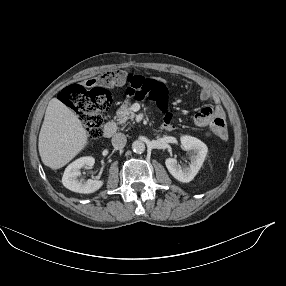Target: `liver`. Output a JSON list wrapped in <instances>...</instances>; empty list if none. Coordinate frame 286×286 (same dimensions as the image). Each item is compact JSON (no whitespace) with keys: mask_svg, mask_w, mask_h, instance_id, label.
Wrapping results in <instances>:
<instances>
[{"mask_svg":"<svg viewBox=\"0 0 286 286\" xmlns=\"http://www.w3.org/2000/svg\"><path fill=\"white\" fill-rule=\"evenodd\" d=\"M87 144L88 133L77 115L59 99H51L38 143L44 165L59 169L69 163Z\"/></svg>","mask_w":286,"mask_h":286,"instance_id":"obj_1","label":"liver"}]
</instances>
